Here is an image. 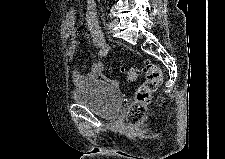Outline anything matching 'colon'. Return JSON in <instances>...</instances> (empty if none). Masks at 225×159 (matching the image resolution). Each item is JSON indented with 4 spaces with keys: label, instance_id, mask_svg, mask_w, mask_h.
Returning <instances> with one entry per match:
<instances>
[{
    "label": "colon",
    "instance_id": "obj_1",
    "mask_svg": "<svg viewBox=\"0 0 225 159\" xmlns=\"http://www.w3.org/2000/svg\"><path fill=\"white\" fill-rule=\"evenodd\" d=\"M145 81L135 90L134 102L127 110L126 120L130 124H138L143 119L151 101V96L162 82V71L157 65L147 61L142 69ZM123 73L128 82L137 79L138 72L134 68L124 69Z\"/></svg>",
    "mask_w": 225,
    "mask_h": 159
}]
</instances>
